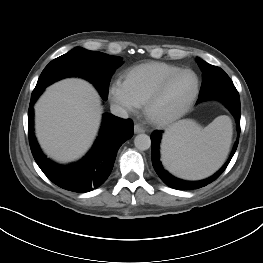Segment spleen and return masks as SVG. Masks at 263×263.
I'll return each instance as SVG.
<instances>
[{"instance_id": "1", "label": "spleen", "mask_w": 263, "mask_h": 263, "mask_svg": "<svg viewBox=\"0 0 263 263\" xmlns=\"http://www.w3.org/2000/svg\"><path fill=\"white\" fill-rule=\"evenodd\" d=\"M232 138L228 116H219L205 128L191 120L171 126L163 136L161 159L173 175L199 180L213 174L223 164Z\"/></svg>"}]
</instances>
